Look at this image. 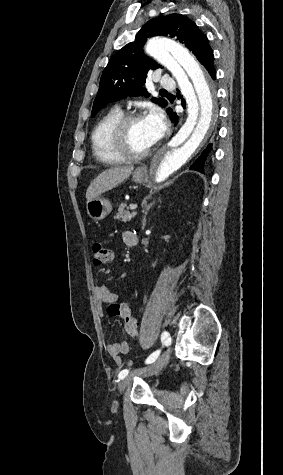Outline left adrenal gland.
Wrapping results in <instances>:
<instances>
[{"mask_svg":"<svg viewBox=\"0 0 283 475\" xmlns=\"http://www.w3.org/2000/svg\"><path fill=\"white\" fill-rule=\"evenodd\" d=\"M155 202H152V204H147V202H143L142 204V208H144V210H142L144 216H143V222H142V230H144L145 226H146V216L150 210V208H152V206H154Z\"/></svg>","mask_w":283,"mask_h":475,"instance_id":"1","label":"left adrenal gland"}]
</instances>
